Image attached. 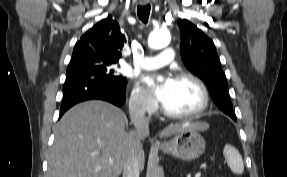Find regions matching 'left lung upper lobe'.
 Here are the masks:
<instances>
[{
  "mask_svg": "<svg viewBox=\"0 0 287 177\" xmlns=\"http://www.w3.org/2000/svg\"><path fill=\"white\" fill-rule=\"evenodd\" d=\"M181 37V57L185 66L208 87L212 99L224 113L235 117L227 95L226 76L221 69L213 41L190 21H178Z\"/></svg>",
  "mask_w": 287,
  "mask_h": 177,
  "instance_id": "left-lung-upper-lobe-1",
  "label": "left lung upper lobe"
}]
</instances>
